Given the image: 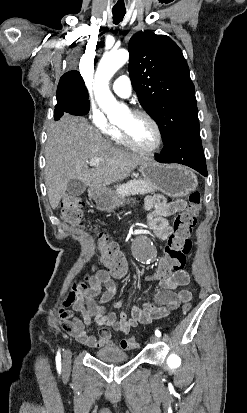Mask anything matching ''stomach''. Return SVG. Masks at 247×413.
<instances>
[{
    "label": "stomach",
    "instance_id": "obj_1",
    "mask_svg": "<svg viewBox=\"0 0 247 413\" xmlns=\"http://www.w3.org/2000/svg\"><path fill=\"white\" fill-rule=\"evenodd\" d=\"M144 180L152 184L157 190L164 194L176 198V196H187L198 186V178L191 168L183 164H162L153 158H148L146 162L140 164L139 168ZM90 198L94 200L97 209L100 211H113L120 207L123 202H129L133 198H121L117 196L111 188H99L90 190Z\"/></svg>",
    "mask_w": 247,
    "mask_h": 413
}]
</instances>
